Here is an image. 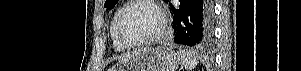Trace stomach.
I'll list each match as a JSON object with an SVG mask.
<instances>
[{
    "mask_svg": "<svg viewBox=\"0 0 301 71\" xmlns=\"http://www.w3.org/2000/svg\"><path fill=\"white\" fill-rule=\"evenodd\" d=\"M179 64L178 54L159 46L144 48L122 58L112 71H176Z\"/></svg>",
    "mask_w": 301,
    "mask_h": 71,
    "instance_id": "0dacf381",
    "label": "stomach"
}]
</instances>
